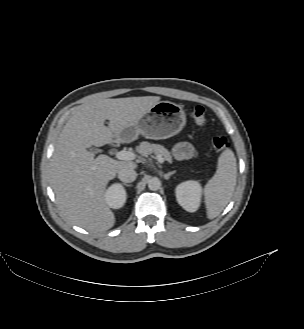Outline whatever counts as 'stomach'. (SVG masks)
<instances>
[{"mask_svg": "<svg viewBox=\"0 0 304 329\" xmlns=\"http://www.w3.org/2000/svg\"><path fill=\"white\" fill-rule=\"evenodd\" d=\"M186 123L183 108L170 101H160L116 137L119 142H131L139 135L147 139H166L178 134Z\"/></svg>", "mask_w": 304, "mask_h": 329, "instance_id": "stomach-1", "label": "stomach"}]
</instances>
